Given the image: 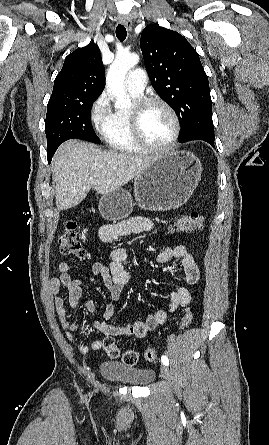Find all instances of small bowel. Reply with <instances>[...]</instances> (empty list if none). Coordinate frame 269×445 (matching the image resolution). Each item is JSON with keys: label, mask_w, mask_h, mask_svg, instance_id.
Instances as JSON below:
<instances>
[{"label": "small bowel", "mask_w": 269, "mask_h": 445, "mask_svg": "<svg viewBox=\"0 0 269 445\" xmlns=\"http://www.w3.org/2000/svg\"><path fill=\"white\" fill-rule=\"evenodd\" d=\"M153 228L154 224L150 219L143 216H134L119 223L102 226L98 237L101 242L108 243L118 237L150 231ZM71 259L73 258H65L59 263L57 267L59 276L51 278L49 288L54 295V304L62 328L67 338L73 342V334L77 330V326L69 320L62 287L68 291L67 301L71 307L78 306L83 293V287L82 281L74 278L72 275L71 267L68 264V260ZM157 259L160 263H168L175 259L180 260L185 282L189 285H194L199 281V268L185 245L179 244L175 247H167L158 254ZM128 264L129 257L127 251L123 248H117L111 252L109 263L96 262L90 268V272L93 275H99L102 278L112 300L119 299L124 287L130 283ZM169 299L170 304L167 310L159 309L145 321L122 327L108 322L114 314L112 304H108L104 313L106 321L93 320V326L97 331L108 336L144 337L158 326L164 324L168 313L174 312L178 308L186 307L191 302V293L188 288L179 287L169 293ZM86 309L92 316L94 315L96 302L93 298H89L86 301ZM101 348V340H93L89 346H79L81 352L95 351Z\"/></svg>", "instance_id": "small-bowel-1"}]
</instances>
